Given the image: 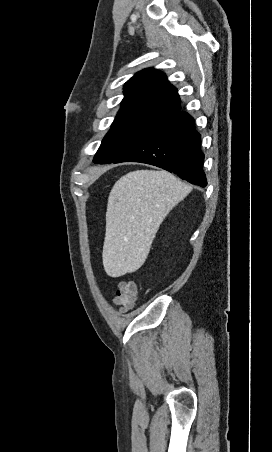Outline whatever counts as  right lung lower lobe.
Instances as JSON below:
<instances>
[{"label":"right lung lower lobe","mask_w":272,"mask_h":452,"mask_svg":"<svg viewBox=\"0 0 272 452\" xmlns=\"http://www.w3.org/2000/svg\"><path fill=\"white\" fill-rule=\"evenodd\" d=\"M200 134L184 111L160 115L148 130L113 163L141 162L163 168L181 179L205 187Z\"/></svg>","instance_id":"right-lung-lower-lobe-1"}]
</instances>
